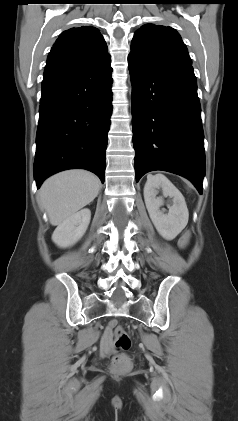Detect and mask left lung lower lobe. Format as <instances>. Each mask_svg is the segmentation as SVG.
Returning <instances> with one entry per match:
<instances>
[{"label": "left lung lower lobe", "instance_id": "left-lung-lower-lobe-1", "mask_svg": "<svg viewBox=\"0 0 238 421\" xmlns=\"http://www.w3.org/2000/svg\"><path fill=\"white\" fill-rule=\"evenodd\" d=\"M136 182L163 170L189 179L202 194L204 134L191 63L148 65L129 55Z\"/></svg>", "mask_w": 238, "mask_h": 421}]
</instances>
